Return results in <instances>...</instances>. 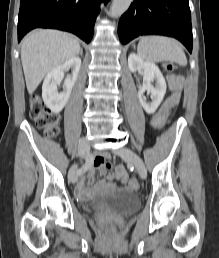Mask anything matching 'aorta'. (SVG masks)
Returning <instances> with one entry per match:
<instances>
[{"label": "aorta", "mask_w": 219, "mask_h": 258, "mask_svg": "<svg viewBox=\"0 0 219 258\" xmlns=\"http://www.w3.org/2000/svg\"><path fill=\"white\" fill-rule=\"evenodd\" d=\"M132 0H113L110 8V16L120 17L130 6Z\"/></svg>", "instance_id": "aorta-1"}]
</instances>
